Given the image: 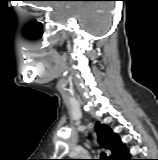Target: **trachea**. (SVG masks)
I'll list each match as a JSON object with an SVG mask.
<instances>
[{"label": "trachea", "instance_id": "obj_1", "mask_svg": "<svg viewBox=\"0 0 158 160\" xmlns=\"http://www.w3.org/2000/svg\"><path fill=\"white\" fill-rule=\"evenodd\" d=\"M98 160H108L105 153H101V158Z\"/></svg>", "mask_w": 158, "mask_h": 160}]
</instances>
